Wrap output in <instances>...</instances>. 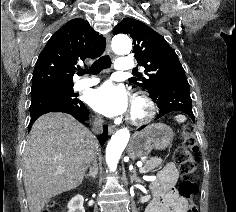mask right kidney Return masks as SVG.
<instances>
[{
    "mask_svg": "<svg viewBox=\"0 0 236 212\" xmlns=\"http://www.w3.org/2000/svg\"><path fill=\"white\" fill-rule=\"evenodd\" d=\"M84 198L81 195L74 196L68 203V212H85L83 207Z\"/></svg>",
    "mask_w": 236,
    "mask_h": 212,
    "instance_id": "obj_1",
    "label": "right kidney"
}]
</instances>
